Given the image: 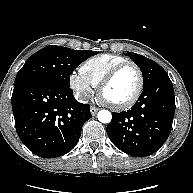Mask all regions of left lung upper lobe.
Instances as JSON below:
<instances>
[{
	"label": "left lung upper lobe",
	"mask_w": 193,
	"mask_h": 193,
	"mask_svg": "<svg viewBox=\"0 0 193 193\" xmlns=\"http://www.w3.org/2000/svg\"><path fill=\"white\" fill-rule=\"evenodd\" d=\"M126 55L129 56L142 71L143 87L158 75L166 72L159 64L140 54L128 52Z\"/></svg>",
	"instance_id": "obj_1"
}]
</instances>
